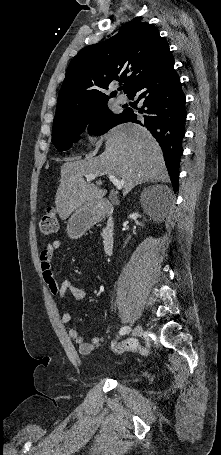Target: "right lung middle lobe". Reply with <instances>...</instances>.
Returning <instances> with one entry per match:
<instances>
[{
	"label": "right lung middle lobe",
	"mask_w": 221,
	"mask_h": 455,
	"mask_svg": "<svg viewBox=\"0 0 221 455\" xmlns=\"http://www.w3.org/2000/svg\"><path fill=\"white\" fill-rule=\"evenodd\" d=\"M124 112L125 110L121 114H113L105 101L86 111L54 122L52 141L59 152L66 151L78 141L80 134L89 123H91V130L102 134L120 124Z\"/></svg>",
	"instance_id": "right-lung-middle-lobe-1"
}]
</instances>
